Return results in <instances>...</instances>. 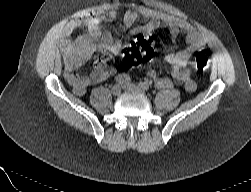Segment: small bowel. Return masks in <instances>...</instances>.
<instances>
[{
	"mask_svg": "<svg viewBox=\"0 0 251 192\" xmlns=\"http://www.w3.org/2000/svg\"><path fill=\"white\" fill-rule=\"evenodd\" d=\"M138 19L136 12L128 11L123 18V27L132 26ZM76 27V22H70L65 26L59 36V46L63 55L65 79L74 94L82 96L89 86L101 83L113 75L114 69L104 61L98 60L90 74L79 76L76 73L78 67L95 52L118 54L122 49V43L113 39L112 34L102 26L100 19L89 20L87 33L72 39L71 34ZM144 30H166L171 34L173 41L172 47L164 55V60L171 68L172 78L162 75L157 69H150L148 75L154 80L155 86L169 89L173 87L174 81H177L186 91L195 90L196 83L192 79L189 63L195 49L206 43L204 34L187 23H163L158 20L147 22ZM181 33L185 34L186 47L180 45L178 37Z\"/></svg>",
	"mask_w": 251,
	"mask_h": 192,
	"instance_id": "1",
	"label": "small bowel"
}]
</instances>
